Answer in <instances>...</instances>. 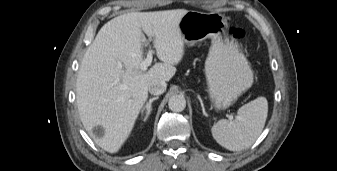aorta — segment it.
I'll return each instance as SVG.
<instances>
[{"mask_svg": "<svg viewBox=\"0 0 337 171\" xmlns=\"http://www.w3.org/2000/svg\"><path fill=\"white\" fill-rule=\"evenodd\" d=\"M168 106L173 112H181L186 107V100L181 95H173L169 99Z\"/></svg>", "mask_w": 337, "mask_h": 171, "instance_id": "aorta-1", "label": "aorta"}]
</instances>
